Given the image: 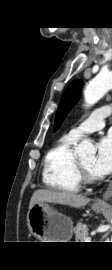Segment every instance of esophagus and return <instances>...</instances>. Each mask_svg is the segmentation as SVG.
Listing matches in <instances>:
<instances>
[{"label":"esophagus","instance_id":"34e87169","mask_svg":"<svg viewBox=\"0 0 112 270\" xmlns=\"http://www.w3.org/2000/svg\"><path fill=\"white\" fill-rule=\"evenodd\" d=\"M111 196H112V181L109 183V185H108L106 191L103 193L102 197L95 201V205L96 206H106L107 201L109 200V198Z\"/></svg>","mask_w":112,"mask_h":270}]
</instances>
